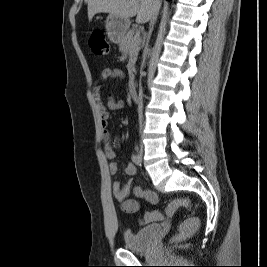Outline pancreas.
Listing matches in <instances>:
<instances>
[{
	"label": "pancreas",
	"mask_w": 267,
	"mask_h": 267,
	"mask_svg": "<svg viewBox=\"0 0 267 267\" xmlns=\"http://www.w3.org/2000/svg\"><path fill=\"white\" fill-rule=\"evenodd\" d=\"M139 45L140 41L136 38L135 29L129 30L119 43V50L121 52H127L130 56V61L127 65L130 76H132V72L134 71V64L140 49Z\"/></svg>",
	"instance_id": "obj_1"
}]
</instances>
